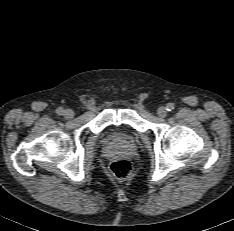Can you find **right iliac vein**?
<instances>
[{
	"instance_id": "obj_1",
	"label": "right iliac vein",
	"mask_w": 234,
	"mask_h": 231,
	"mask_svg": "<svg viewBox=\"0 0 234 231\" xmlns=\"http://www.w3.org/2000/svg\"><path fill=\"white\" fill-rule=\"evenodd\" d=\"M65 115H66L67 118H72L74 114H73V111L68 110V111L65 113Z\"/></svg>"
}]
</instances>
